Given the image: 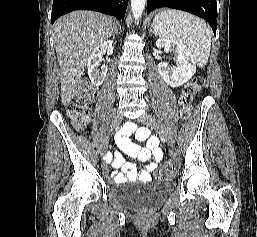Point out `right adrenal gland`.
<instances>
[{
    "label": "right adrenal gland",
    "mask_w": 257,
    "mask_h": 237,
    "mask_svg": "<svg viewBox=\"0 0 257 237\" xmlns=\"http://www.w3.org/2000/svg\"><path fill=\"white\" fill-rule=\"evenodd\" d=\"M115 35H118V29H116L115 33L113 34V37H115Z\"/></svg>",
    "instance_id": "right-adrenal-gland-1"
}]
</instances>
